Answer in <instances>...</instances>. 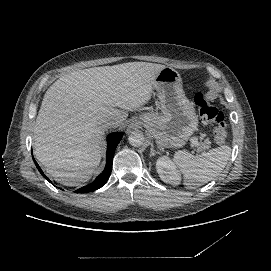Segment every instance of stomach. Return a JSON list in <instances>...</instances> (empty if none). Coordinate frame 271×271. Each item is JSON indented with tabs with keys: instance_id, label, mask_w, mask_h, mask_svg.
Segmentation results:
<instances>
[{
	"instance_id": "0dacf381",
	"label": "stomach",
	"mask_w": 271,
	"mask_h": 271,
	"mask_svg": "<svg viewBox=\"0 0 271 271\" xmlns=\"http://www.w3.org/2000/svg\"><path fill=\"white\" fill-rule=\"evenodd\" d=\"M153 87L157 91L162 114H141L142 125L155 138L159 149L184 146L197 130L198 116L184 94L179 72L171 67L161 69Z\"/></svg>"
}]
</instances>
